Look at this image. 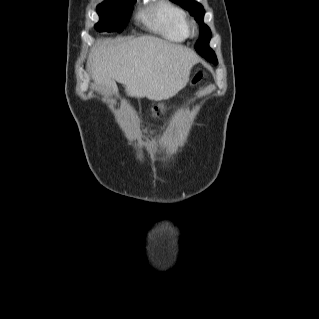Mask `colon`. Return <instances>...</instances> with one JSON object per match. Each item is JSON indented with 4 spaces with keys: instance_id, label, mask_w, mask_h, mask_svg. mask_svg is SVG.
<instances>
[{
    "instance_id": "1",
    "label": "colon",
    "mask_w": 319,
    "mask_h": 319,
    "mask_svg": "<svg viewBox=\"0 0 319 319\" xmlns=\"http://www.w3.org/2000/svg\"><path fill=\"white\" fill-rule=\"evenodd\" d=\"M202 78V72L199 70L195 73L194 77H193V81L197 82ZM164 112V109L156 106L152 109V113L156 116L161 115Z\"/></svg>"
}]
</instances>
